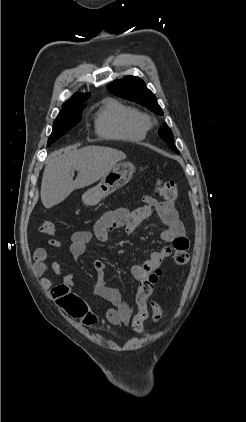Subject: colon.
Listing matches in <instances>:
<instances>
[{"instance_id": "colon-1", "label": "colon", "mask_w": 246, "mask_h": 422, "mask_svg": "<svg viewBox=\"0 0 246 422\" xmlns=\"http://www.w3.org/2000/svg\"><path fill=\"white\" fill-rule=\"evenodd\" d=\"M157 192L163 198L171 201L178 197L179 189L174 181L160 180L157 185ZM40 230L44 234L52 235L56 231V225L52 221L45 220L41 224ZM173 261L177 265L186 264L188 261V253L185 251L174 252ZM161 275L162 271L158 269L145 275L139 282L135 298L138 311L132 321V329L136 332L143 331L144 324L149 318H152L155 322H159L164 316L163 310L158 302L150 299L154 286Z\"/></svg>"}]
</instances>
